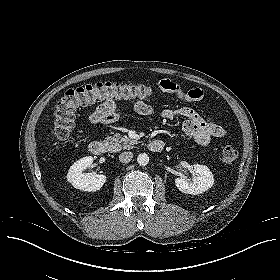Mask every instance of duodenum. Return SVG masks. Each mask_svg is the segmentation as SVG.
<instances>
[{
	"instance_id": "410a0bca",
	"label": "duodenum",
	"mask_w": 280,
	"mask_h": 280,
	"mask_svg": "<svg viewBox=\"0 0 280 280\" xmlns=\"http://www.w3.org/2000/svg\"><path fill=\"white\" fill-rule=\"evenodd\" d=\"M148 149L152 153H160L164 149V143L161 140H152L148 144ZM108 147L105 142L94 140L89 144V151L95 155H104L107 153Z\"/></svg>"
}]
</instances>
